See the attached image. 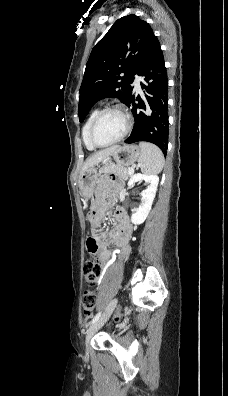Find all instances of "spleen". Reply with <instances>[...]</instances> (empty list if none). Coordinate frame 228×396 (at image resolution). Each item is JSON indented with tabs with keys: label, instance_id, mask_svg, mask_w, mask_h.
<instances>
[{
	"label": "spleen",
	"instance_id": "3e777b00",
	"mask_svg": "<svg viewBox=\"0 0 228 396\" xmlns=\"http://www.w3.org/2000/svg\"><path fill=\"white\" fill-rule=\"evenodd\" d=\"M140 168L145 174H158L164 166V156L161 150L149 142H140Z\"/></svg>",
	"mask_w": 228,
	"mask_h": 396
}]
</instances>
